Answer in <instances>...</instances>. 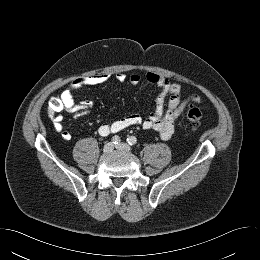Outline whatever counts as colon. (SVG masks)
Returning <instances> with one entry per match:
<instances>
[{"label": "colon", "mask_w": 260, "mask_h": 260, "mask_svg": "<svg viewBox=\"0 0 260 260\" xmlns=\"http://www.w3.org/2000/svg\"><path fill=\"white\" fill-rule=\"evenodd\" d=\"M64 107L60 98L53 97L48 103V113L51 117L55 116ZM203 118L202 111L198 107H189L186 111V121L189 127L195 129L199 127Z\"/></svg>", "instance_id": "1"}]
</instances>
